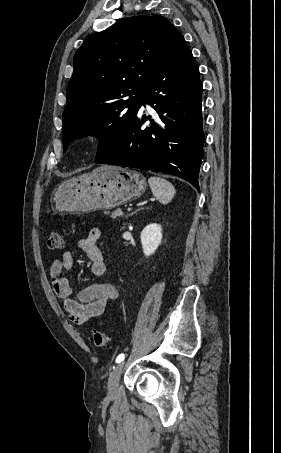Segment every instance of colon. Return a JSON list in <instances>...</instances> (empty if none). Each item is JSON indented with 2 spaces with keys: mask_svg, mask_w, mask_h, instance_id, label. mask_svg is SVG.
<instances>
[{
  "mask_svg": "<svg viewBox=\"0 0 281 453\" xmlns=\"http://www.w3.org/2000/svg\"><path fill=\"white\" fill-rule=\"evenodd\" d=\"M63 245L62 232L53 230L50 234V239L47 245L49 251H61ZM110 343V336L107 333L95 332L93 334V344L98 349L106 348Z\"/></svg>",
  "mask_w": 281,
  "mask_h": 453,
  "instance_id": "1",
  "label": "colon"
}]
</instances>
